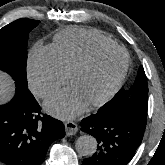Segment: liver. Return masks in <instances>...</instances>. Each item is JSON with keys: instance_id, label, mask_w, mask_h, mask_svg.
Segmentation results:
<instances>
[{"instance_id": "1", "label": "liver", "mask_w": 165, "mask_h": 165, "mask_svg": "<svg viewBox=\"0 0 165 165\" xmlns=\"http://www.w3.org/2000/svg\"><path fill=\"white\" fill-rule=\"evenodd\" d=\"M14 94V83L4 72L0 71V104L8 102Z\"/></svg>"}]
</instances>
